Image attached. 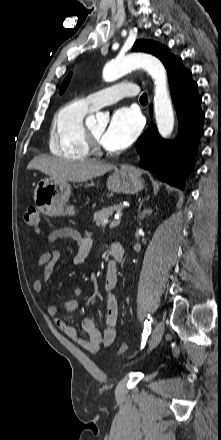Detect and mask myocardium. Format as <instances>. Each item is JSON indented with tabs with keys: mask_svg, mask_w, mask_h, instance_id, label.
<instances>
[{
	"mask_svg": "<svg viewBox=\"0 0 221 440\" xmlns=\"http://www.w3.org/2000/svg\"><path fill=\"white\" fill-rule=\"evenodd\" d=\"M84 133H85V141L90 154L101 155L103 153V150L100 141L91 133L89 128H87L86 126L84 129Z\"/></svg>",
	"mask_w": 221,
	"mask_h": 440,
	"instance_id": "obj_1",
	"label": "myocardium"
}]
</instances>
